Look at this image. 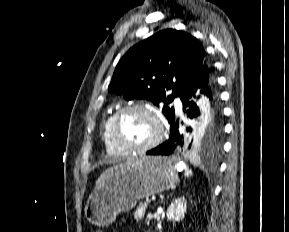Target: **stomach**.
<instances>
[{"label": "stomach", "mask_w": 289, "mask_h": 232, "mask_svg": "<svg viewBox=\"0 0 289 232\" xmlns=\"http://www.w3.org/2000/svg\"><path fill=\"white\" fill-rule=\"evenodd\" d=\"M177 181L175 158H136L115 170L104 185L89 196L85 217L96 226H108L119 213L129 211L140 199L168 190Z\"/></svg>", "instance_id": "stomach-1"}]
</instances>
